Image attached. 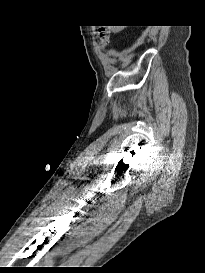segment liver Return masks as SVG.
<instances>
[{
  "label": "liver",
  "mask_w": 205,
  "mask_h": 273,
  "mask_svg": "<svg viewBox=\"0 0 205 273\" xmlns=\"http://www.w3.org/2000/svg\"><path fill=\"white\" fill-rule=\"evenodd\" d=\"M109 28L114 32L122 30V26H110Z\"/></svg>",
  "instance_id": "1"
}]
</instances>
